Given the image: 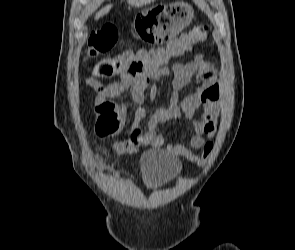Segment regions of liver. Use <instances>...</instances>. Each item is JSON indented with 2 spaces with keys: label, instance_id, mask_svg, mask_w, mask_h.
Here are the masks:
<instances>
[{
  "label": "liver",
  "instance_id": "6515ba94",
  "mask_svg": "<svg viewBox=\"0 0 295 250\" xmlns=\"http://www.w3.org/2000/svg\"><path fill=\"white\" fill-rule=\"evenodd\" d=\"M155 0H128V3L131 6H135V7H141L144 6L148 3L154 2ZM112 8V4H108L105 7H103L101 10H99L96 15H95V19H98L100 17H103L104 15H106L107 13H109V11Z\"/></svg>",
  "mask_w": 295,
  "mask_h": 250
}]
</instances>
